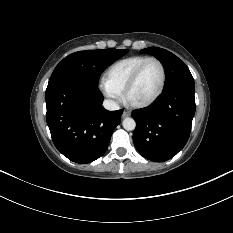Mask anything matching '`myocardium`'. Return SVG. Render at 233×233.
Segmentation results:
<instances>
[{
  "label": "myocardium",
  "instance_id": "f54148a6",
  "mask_svg": "<svg viewBox=\"0 0 233 233\" xmlns=\"http://www.w3.org/2000/svg\"><path fill=\"white\" fill-rule=\"evenodd\" d=\"M150 62H156L160 68H161V73H162V79H161V84L160 87L158 89V91L155 93L154 96H152L150 99H148L147 101L141 102V103H134L131 102L129 100V93L132 90V88L134 87V85L136 84L137 80L139 79L142 71L144 70L145 66L150 63ZM166 80H167V72H166V68L165 65L163 64V62L156 58V57H148L146 60H144L136 69L135 71L132 73V75L130 76L129 80L127 81L123 94H124V100L125 102L133 107V108H146L150 105H152L153 103H155L160 96L162 95L164 89H165V85H166Z\"/></svg>",
  "mask_w": 233,
  "mask_h": 233
}]
</instances>
